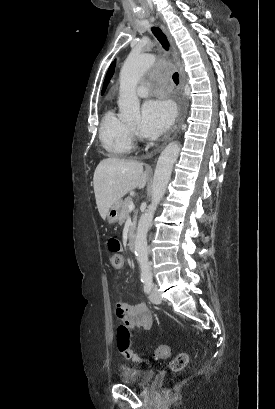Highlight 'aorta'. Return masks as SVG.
I'll use <instances>...</instances> for the list:
<instances>
[{
  "instance_id": "1",
  "label": "aorta",
  "mask_w": 275,
  "mask_h": 409,
  "mask_svg": "<svg viewBox=\"0 0 275 409\" xmlns=\"http://www.w3.org/2000/svg\"><path fill=\"white\" fill-rule=\"evenodd\" d=\"M162 51H129L126 60L120 70V90L118 106L120 120H133L139 122L140 100L136 94V86L146 70V65H157L162 60ZM180 152V144L177 140L169 142L162 150L156 164L153 176L152 200L147 213L141 215L135 237V255L140 265L142 281H152V271L148 263L147 233L153 221L154 213L160 200L165 194L174 162Z\"/></svg>"
}]
</instances>
